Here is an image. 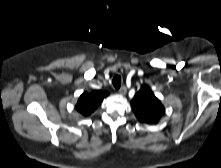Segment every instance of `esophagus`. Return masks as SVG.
Segmentation results:
<instances>
[{
	"label": "esophagus",
	"instance_id": "obj_1",
	"mask_svg": "<svg viewBox=\"0 0 221 168\" xmlns=\"http://www.w3.org/2000/svg\"><path fill=\"white\" fill-rule=\"evenodd\" d=\"M126 91H127L126 86H122L118 92H119V94L124 95L126 93Z\"/></svg>",
	"mask_w": 221,
	"mask_h": 168
}]
</instances>
